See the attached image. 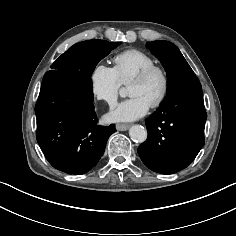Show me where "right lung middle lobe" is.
<instances>
[{
    "label": "right lung middle lobe",
    "mask_w": 236,
    "mask_h": 236,
    "mask_svg": "<svg viewBox=\"0 0 236 236\" xmlns=\"http://www.w3.org/2000/svg\"><path fill=\"white\" fill-rule=\"evenodd\" d=\"M119 43L104 40H88L74 44L63 53L46 74L59 71L64 74L77 75L91 81V75L98 62L116 48Z\"/></svg>",
    "instance_id": "obj_1"
}]
</instances>
